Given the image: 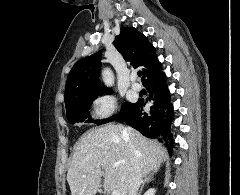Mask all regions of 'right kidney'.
Segmentation results:
<instances>
[{"instance_id": "obj_1", "label": "right kidney", "mask_w": 240, "mask_h": 195, "mask_svg": "<svg viewBox=\"0 0 240 195\" xmlns=\"http://www.w3.org/2000/svg\"><path fill=\"white\" fill-rule=\"evenodd\" d=\"M155 191L156 189H154V187H150V189H147V191H145L144 195H155Z\"/></svg>"}]
</instances>
